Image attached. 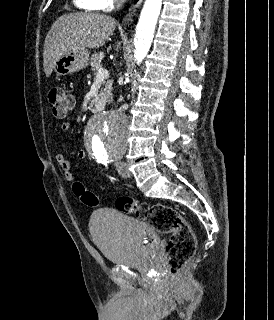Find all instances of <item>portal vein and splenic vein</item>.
Wrapping results in <instances>:
<instances>
[{"label":"portal vein and splenic vein","mask_w":274,"mask_h":320,"mask_svg":"<svg viewBox=\"0 0 274 320\" xmlns=\"http://www.w3.org/2000/svg\"><path fill=\"white\" fill-rule=\"evenodd\" d=\"M107 76H108V70H103V68H100V70H98V74L96 78H107Z\"/></svg>","instance_id":"portal-vein-and-splenic-vein-1"}]
</instances>
